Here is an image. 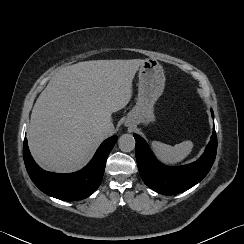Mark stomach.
I'll return each mask as SVG.
<instances>
[{
	"instance_id": "obj_1",
	"label": "stomach",
	"mask_w": 244,
	"mask_h": 244,
	"mask_svg": "<svg viewBox=\"0 0 244 244\" xmlns=\"http://www.w3.org/2000/svg\"><path fill=\"white\" fill-rule=\"evenodd\" d=\"M138 78L137 102L129 113V120L135 124L150 123L155 120V103L164 91L165 75L163 67L155 59H146L139 68Z\"/></svg>"
}]
</instances>
